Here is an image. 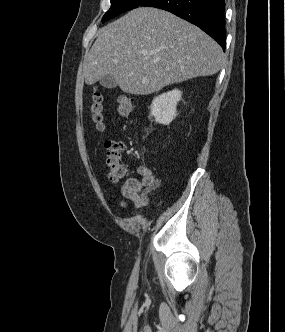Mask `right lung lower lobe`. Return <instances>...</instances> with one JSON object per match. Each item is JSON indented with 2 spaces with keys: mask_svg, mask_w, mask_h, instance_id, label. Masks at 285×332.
Segmentation results:
<instances>
[{
  "mask_svg": "<svg viewBox=\"0 0 285 332\" xmlns=\"http://www.w3.org/2000/svg\"><path fill=\"white\" fill-rule=\"evenodd\" d=\"M140 6L164 9L195 24L225 50V0H146Z\"/></svg>",
  "mask_w": 285,
  "mask_h": 332,
  "instance_id": "obj_1",
  "label": "right lung lower lobe"
}]
</instances>
